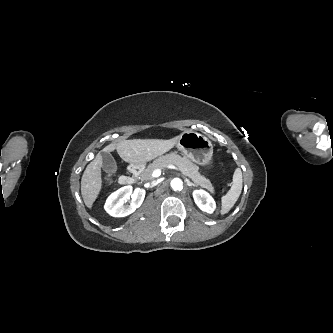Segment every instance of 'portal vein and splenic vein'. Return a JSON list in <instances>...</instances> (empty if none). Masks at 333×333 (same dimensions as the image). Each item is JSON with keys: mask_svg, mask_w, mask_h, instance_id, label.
<instances>
[{"mask_svg": "<svg viewBox=\"0 0 333 333\" xmlns=\"http://www.w3.org/2000/svg\"><path fill=\"white\" fill-rule=\"evenodd\" d=\"M167 168L169 169H174V170H177V171H181L178 167L174 166V165H168ZM161 175V170L160 169H156L152 172V177L153 178H157Z\"/></svg>", "mask_w": 333, "mask_h": 333, "instance_id": "obj_1", "label": "portal vein and splenic vein"}]
</instances>
